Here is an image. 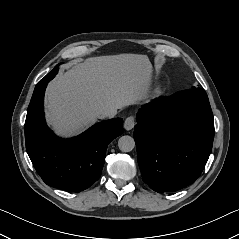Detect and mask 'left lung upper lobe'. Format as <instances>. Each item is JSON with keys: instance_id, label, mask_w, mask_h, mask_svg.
I'll return each mask as SVG.
<instances>
[{"instance_id": "obj_1", "label": "left lung upper lobe", "mask_w": 239, "mask_h": 239, "mask_svg": "<svg viewBox=\"0 0 239 239\" xmlns=\"http://www.w3.org/2000/svg\"><path fill=\"white\" fill-rule=\"evenodd\" d=\"M193 89L203 90V89H201V88H195V87H194Z\"/></svg>"}]
</instances>
